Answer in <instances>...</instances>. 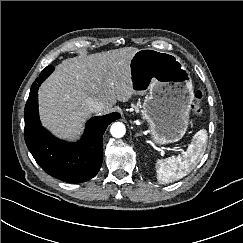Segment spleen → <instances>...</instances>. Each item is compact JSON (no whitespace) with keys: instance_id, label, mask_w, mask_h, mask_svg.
Instances as JSON below:
<instances>
[{"instance_id":"spleen-1","label":"spleen","mask_w":243,"mask_h":243,"mask_svg":"<svg viewBox=\"0 0 243 243\" xmlns=\"http://www.w3.org/2000/svg\"><path fill=\"white\" fill-rule=\"evenodd\" d=\"M207 138V131L201 129L194 135L190 147L183 155L158 160L156 163L157 180L162 184L170 183L190 173L204 154Z\"/></svg>"}]
</instances>
